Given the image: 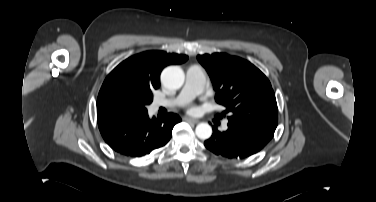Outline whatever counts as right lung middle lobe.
<instances>
[{"mask_svg": "<svg viewBox=\"0 0 376 202\" xmlns=\"http://www.w3.org/2000/svg\"><path fill=\"white\" fill-rule=\"evenodd\" d=\"M153 89L130 80H120L106 88L102 102L107 109L126 117L143 114L147 112L146 105L152 102Z\"/></svg>", "mask_w": 376, "mask_h": 202, "instance_id": "obj_1", "label": "right lung middle lobe"}]
</instances>
